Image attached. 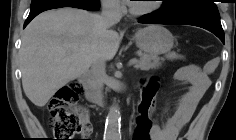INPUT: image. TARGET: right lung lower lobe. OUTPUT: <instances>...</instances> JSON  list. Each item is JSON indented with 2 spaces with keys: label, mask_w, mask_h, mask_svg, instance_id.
Instances as JSON below:
<instances>
[{
  "label": "right lung lower lobe",
  "mask_w": 236,
  "mask_h": 140,
  "mask_svg": "<svg viewBox=\"0 0 236 140\" xmlns=\"http://www.w3.org/2000/svg\"><path fill=\"white\" fill-rule=\"evenodd\" d=\"M61 7H74V8H80V9H85V10H98L100 8V7L91 8L84 4L77 3V2H70V1L44 5V6L36 7L30 10L29 16L24 23V27H26L30 23V21L41 12L50 10V9L61 8Z\"/></svg>",
  "instance_id": "1"
}]
</instances>
